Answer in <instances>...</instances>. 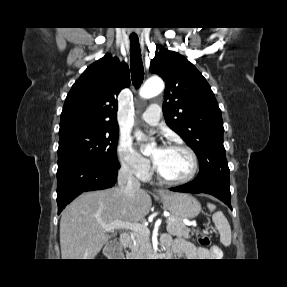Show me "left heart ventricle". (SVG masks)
Listing matches in <instances>:
<instances>
[{
    "label": "left heart ventricle",
    "instance_id": "b2bd125f",
    "mask_svg": "<svg viewBox=\"0 0 287 287\" xmlns=\"http://www.w3.org/2000/svg\"><path fill=\"white\" fill-rule=\"evenodd\" d=\"M152 156L160 172L169 179L184 178L192 169L191 157L183 149L157 148Z\"/></svg>",
    "mask_w": 287,
    "mask_h": 287
}]
</instances>
